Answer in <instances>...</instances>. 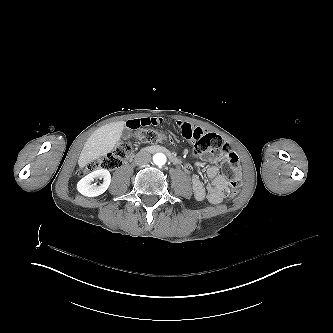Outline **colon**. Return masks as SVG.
Segmentation results:
<instances>
[{"label":"colon","mask_w":333,"mask_h":333,"mask_svg":"<svg viewBox=\"0 0 333 333\" xmlns=\"http://www.w3.org/2000/svg\"><path fill=\"white\" fill-rule=\"evenodd\" d=\"M182 132L185 140L194 141L193 154L196 157L203 156L208 153L209 149L212 152L221 150L228 158L225 165L226 174L230 175V187L232 189V196L236 195L237 188L241 184V166L238 154L218 135L212 133H205L202 127L193 128L190 123H181ZM133 135L142 143L148 146H154L167 140L164 133L152 130H144L136 132L132 130ZM133 152V147L129 142L120 143L112 153L107 156H102L97 159L88 170H110L120 165L121 160H127Z\"/></svg>","instance_id":"colon-1"}]
</instances>
